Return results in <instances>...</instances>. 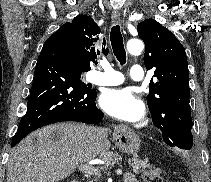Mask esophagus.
Segmentation results:
<instances>
[{
    "label": "esophagus",
    "mask_w": 211,
    "mask_h": 182,
    "mask_svg": "<svg viewBox=\"0 0 211 182\" xmlns=\"http://www.w3.org/2000/svg\"><path fill=\"white\" fill-rule=\"evenodd\" d=\"M111 19L114 24L118 23L120 21V12L118 10H114L111 14ZM122 130L125 129H123L122 127H118L116 129V131H122Z\"/></svg>",
    "instance_id": "esophagus-1"
}]
</instances>
